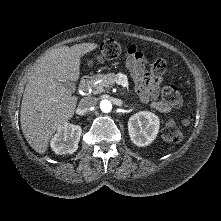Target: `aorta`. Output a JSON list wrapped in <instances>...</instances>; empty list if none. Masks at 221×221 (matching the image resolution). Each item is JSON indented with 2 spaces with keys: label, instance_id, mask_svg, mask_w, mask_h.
<instances>
[{
  "label": "aorta",
  "instance_id": "1",
  "mask_svg": "<svg viewBox=\"0 0 221 221\" xmlns=\"http://www.w3.org/2000/svg\"><path fill=\"white\" fill-rule=\"evenodd\" d=\"M100 108L103 112L108 113L112 109V104L109 100H102L100 102Z\"/></svg>",
  "mask_w": 221,
  "mask_h": 221
}]
</instances>
